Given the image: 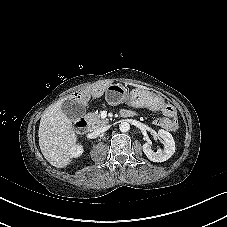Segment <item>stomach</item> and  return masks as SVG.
Here are the masks:
<instances>
[{
	"label": "stomach",
	"instance_id": "0dacf381",
	"mask_svg": "<svg viewBox=\"0 0 227 227\" xmlns=\"http://www.w3.org/2000/svg\"><path fill=\"white\" fill-rule=\"evenodd\" d=\"M106 93L109 101L115 105L128 101L133 107H145L151 110L161 109L164 105L161 97L139 88L128 93L122 86L110 84Z\"/></svg>",
	"mask_w": 227,
	"mask_h": 227
}]
</instances>
